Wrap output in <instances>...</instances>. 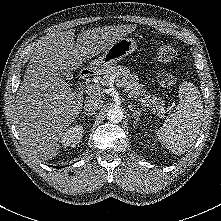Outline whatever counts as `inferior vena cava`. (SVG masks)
I'll return each mask as SVG.
<instances>
[{
	"mask_svg": "<svg viewBox=\"0 0 221 221\" xmlns=\"http://www.w3.org/2000/svg\"><path fill=\"white\" fill-rule=\"evenodd\" d=\"M104 101L100 98H91L84 104V109L86 111H95L103 105Z\"/></svg>",
	"mask_w": 221,
	"mask_h": 221,
	"instance_id": "inferior-vena-cava-1",
	"label": "inferior vena cava"
}]
</instances>
